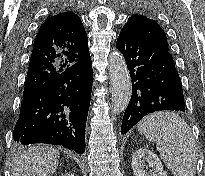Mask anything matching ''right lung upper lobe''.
<instances>
[{
    "label": "right lung upper lobe",
    "instance_id": "obj_1",
    "mask_svg": "<svg viewBox=\"0 0 205 176\" xmlns=\"http://www.w3.org/2000/svg\"><path fill=\"white\" fill-rule=\"evenodd\" d=\"M89 55L87 34L72 12L49 17L33 45L23 96Z\"/></svg>",
    "mask_w": 205,
    "mask_h": 176
}]
</instances>
